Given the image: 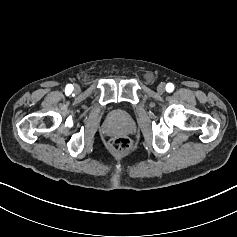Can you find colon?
Returning a JSON list of instances; mask_svg holds the SVG:
<instances>
[{"label": "colon", "instance_id": "obj_1", "mask_svg": "<svg viewBox=\"0 0 237 237\" xmlns=\"http://www.w3.org/2000/svg\"><path fill=\"white\" fill-rule=\"evenodd\" d=\"M110 149L117 154H124L131 150L132 142L126 136H119L111 140Z\"/></svg>", "mask_w": 237, "mask_h": 237}]
</instances>
